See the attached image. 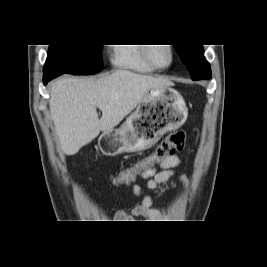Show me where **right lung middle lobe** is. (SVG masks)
Wrapping results in <instances>:
<instances>
[{"mask_svg":"<svg viewBox=\"0 0 267 267\" xmlns=\"http://www.w3.org/2000/svg\"><path fill=\"white\" fill-rule=\"evenodd\" d=\"M102 45H50L43 73L90 75L102 70Z\"/></svg>","mask_w":267,"mask_h":267,"instance_id":"dd1d6c3e","label":"right lung middle lobe"}]
</instances>
